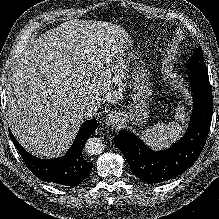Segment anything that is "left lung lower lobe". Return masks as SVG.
Masks as SVG:
<instances>
[{
  "label": "left lung lower lobe",
  "instance_id": "1",
  "mask_svg": "<svg viewBox=\"0 0 219 219\" xmlns=\"http://www.w3.org/2000/svg\"><path fill=\"white\" fill-rule=\"evenodd\" d=\"M193 111L182 139L165 151L150 150L135 134L121 130L114 142L132 173L146 183H160L178 176L199 157L210 130L213 98L208 74L190 71Z\"/></svg>",
  "mask_w": 219,
  "mask_h": 219
}]
</instances>
